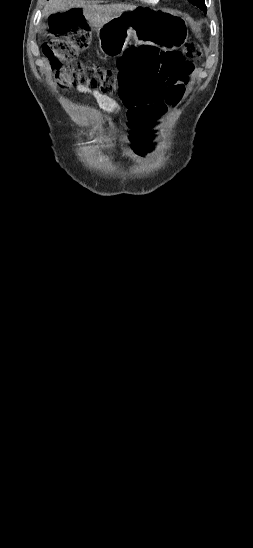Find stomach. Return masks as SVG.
<instances>
[{"mask_svg":"<svg viewBox=\"0 0 253 548\" xmlns=\"http://www.w3.org/2000/svg\"><path fill=\"white\" fill-rule=\"evenodd\" d=\"M97 35L105 56H119L130 40L177 47L186 40L187 30L184 19L175 13L136 8L114 17L97 29Z\"/></svg>","mask_w":253,"mask_h":548,"instance_id":"stomach-1","label":"stomach"}]
</instances>
